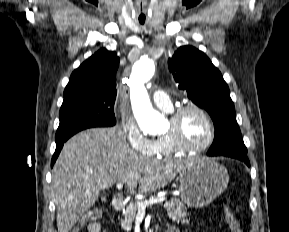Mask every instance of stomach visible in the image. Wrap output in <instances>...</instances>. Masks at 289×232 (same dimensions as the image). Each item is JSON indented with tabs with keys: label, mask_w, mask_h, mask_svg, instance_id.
<instances>
[{
	"label": "stomach",
	"mask_w": 289,
	"mask_h": 232,
	"mask_svg": "<svg viewBox=\"0 0 289 232\" xmlns=\"http://www.w3.org/2000/svg\"><path fill=\"white\" fill-rule=\"evenodd\" d=\"M227 169L207 158L191 159L179 173V191L189 207L201 208L210 204L226 189Z\"/></svg>",
	"instance_id": "1"
}]
</instances>
